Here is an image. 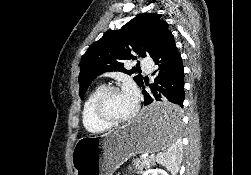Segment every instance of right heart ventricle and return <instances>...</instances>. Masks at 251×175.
Listing matches in <instances>:
<instances>
[{
    "label": "right heart ventricle",
    "mask_w": 251,
    "mask_h": 175,
    "mask_svg": "<svg viewBox=\"0 0 251 175\" xmlns=\"http://www.w3.org/2000/svg\"><path fill=\"white\" fill-rule=\"evenodd\" d=\"M104 87V85L94 87L86 97L82 107V123L85 130L91 134H101L110 128L109 125L96 117L93 110L95 98Z\"/></svg>",
    "instance_id": "obj_1"
}]
</instances>
